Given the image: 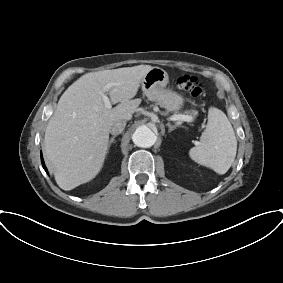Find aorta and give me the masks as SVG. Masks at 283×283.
Masks as SVG:
<instances>
[{
    "instance_id": "762f6f07",
    "label": "aorta",
    "mask_w": 283,
    "mask_h": 283,
    "mask_svg": "<svg viewBox=\"0 0 283 283\" xmlns=\"http://www.w3.org/2000/svg\"><path fill=\"white\" fill-rule=\"evenodd\" d=\"M156 139L157 137L155 133L146 125L139 126L132 136L134 144L142 148H149L153 146Z\"/></svg>"
}]
</instances>
